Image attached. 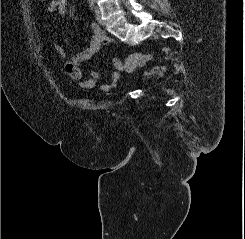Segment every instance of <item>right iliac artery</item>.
I'll list each match as a JSON object with an SVG mask.
<instances>
[{
  "instance_id": "obj_1",
  "label": "right iliac artery",
  "mask_w": 245,
  "mask_h": 239,
  "mask_svg": "<svg viewBox=\"0 0 245 239\" xmlns=\"http://www.w3.org/2000/svg\"><path fill=\"white\" fill-rule=\"evenodd\" d=\"M89 1V6L91 9H94L95 6H94V0H88Z\"/></svg>"
}]
</instances>
